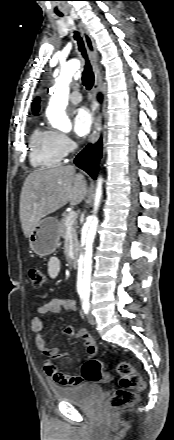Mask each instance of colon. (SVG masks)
Masks as SVG:
<instances>
[{
	"mask_svg": "<svg viewBox=\"0 0 174 440\" xmlns=\"http://www.w3.org/2000/svg\"><path fill=\"white\" fill-rule=\"evenodd\" d=\"M28 278L33 286H41L44 274L39 267H29ZM44 364V368H45ZM116 370L120 376L121 388L117 389L108 399L109 410H119L135 405L139 392L144 389V381L140 373L128 362L117 363ZM82 379L87 382H109L110 375L104 371L102 363L96 359L88 358L81 368Z\"/></svg>",
	"mask_w": 174,
	"mask_h": 440,
	"instance_id": "colon-1",
	"label": "colon"
}]
</instances>
